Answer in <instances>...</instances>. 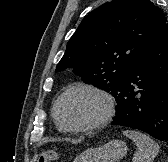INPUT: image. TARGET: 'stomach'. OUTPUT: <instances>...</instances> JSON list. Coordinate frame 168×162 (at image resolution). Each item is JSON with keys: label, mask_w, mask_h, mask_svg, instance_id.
Instances as JSON below:
<instances>
[{"label": "stomach", "mask_w": 168, "mask_h": 162, "mask_svg": "<svg viewBox=\"0 0 168 162\" xmlns=\"http://www.w3.org/2000/svg\"><path fill=\"white\" fill-rule=\"evenodd\" d=\"M126 153L127 146L123 141L111 140L101 147L84 151L73 162H116Z\"/></svg>", "instance_id": "obj_1"}]
</instances>
